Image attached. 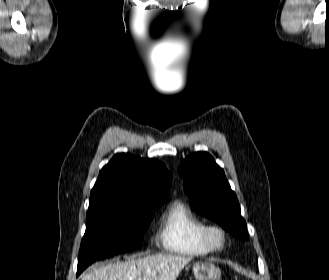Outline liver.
<instances>
[{"label": "liver", "mask_w": 329, "mask_h": 280, "mask_svg": "<svg viewBox=\"0 0 329 280\" xmlns=\"http://www.w3.org/2000/svg\"><path fill=\"white\" fill-rule=\"evenodd\" d=\"M192 260L180 255L157 254L93 267L82 280H176Z\"/></svg>", "instance_id": "1"}]
</instances>
